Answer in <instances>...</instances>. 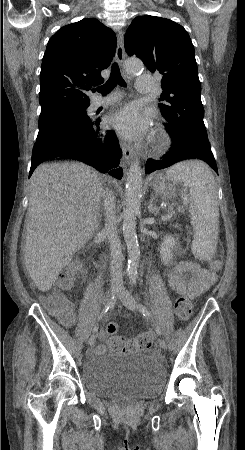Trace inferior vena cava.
Returning a JSON list of instances; mask_svg holds the SVG:
<instances>
[{
    "instance_id": "obj_1",
    "label": "inferior vena cava",
    "mask_w": 245,
    "mask_h": 450,
    "mask_svg": "<svg viewBox=\"0 0 245 450\" xmlns=\"http://www.w3.org/2000/svg\"><path fill=\"white\" fill-rule=\"evenodd\" d=\"M104 199V209H105V232L109 239L110 244V255H111V264H110V274H111V283L122 285L123 284V274H122V248L121 242L117 235L116 228V215H115V198L111 191L103 192Z\"/></svg>"
}]
</instances>
